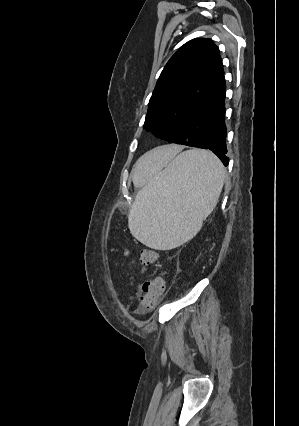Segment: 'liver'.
Segmentation results:
<instances>
[{"label": "liver", "instance_id": "6515ba94", "mask_svg": "<svg viewBox=\"0 0 299 426\" xmlns=\"http://www.w3.org/2000/svg\"><path fill=\"white\" fill-rule=\"evenodd\" d=\"M176 151V147L171 145L157 147L148 151L136 162L133 168L134 179L148 176L156 168L170 160Z\"/></svg>", "mask_w": 299, "mask_h": 426}]
</instances>
